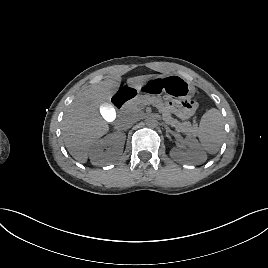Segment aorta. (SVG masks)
Wrapping results in <instances>:
<instances>
[{"label": "aorta", "instance_id": "1", "mask_svg": "<svg viewBox=\"0 0 268 268\" xmlns=\"http://www.w3.org/2000/svg\"><path fill=\"white\" fill-rule=\"evenodd\" d=\"M146 125L150 128H155L158 125V120L156 118V116L154 115H150L146 121H145Z\"/></svg>", "mask_w": 268, "mask_h": 268}]
</instances>
